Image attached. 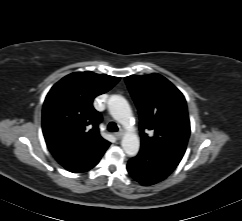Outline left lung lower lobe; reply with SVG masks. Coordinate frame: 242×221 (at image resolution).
<instances>
[{"mask_svg": "<svg viewBox=\"0 0 242 221\" xmlns=\"http://www.w3.org/2000/svg\"><path fill=\"white\" fill-rule=\"evenodd\" d=\"M177 165L162 155L141 148L139 154L129 160L127 170L136 181L148 186L164 180Z\"/></svg>", "mask_w": 242, "mask_h": 221, "instance_id": "left-lung-lower-lobe-1", "label": "left lung lower lobe"}]
</instances>
